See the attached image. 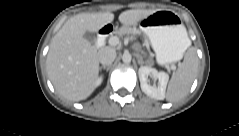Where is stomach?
<instances>
[{
	"mask_svg": "<svg viewBox=\"0 0 239 136\" xmlns=\"http://www.w3.org/2000/svg\"><path fill=\"white\" fill-rule=\"evenodd\" d=\"M161 65L180 60L188 48L187 32L180 18L173 12L155 11L139 22Z\"/></svg>",
	"mask_w": 239,
	"mask_h": 136,
	"instance_id": "1",
	"label": "stomach"
}]
</instances>
